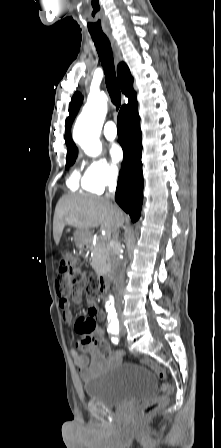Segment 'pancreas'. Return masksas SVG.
Returning a JSON list of instances; mask_svg holds the SVG:
<instances>
[{
	"label": "pancreas",
	"mask_w": 221,
	"mask_h": 448,
	"mask_svg": "<svg viewBox=\"0 0 221 448\" xmlns=\"http://www.w3.org/2000/svg\"><path fill=\"white\" fill-rule=\"evenodd\" d=\"M91 266L96 273H104L109 267V251L106 240L102 237L97 239L95 245L91 243Z\"/></svg>",
	"instance_id": "1"
}]
</instances>
